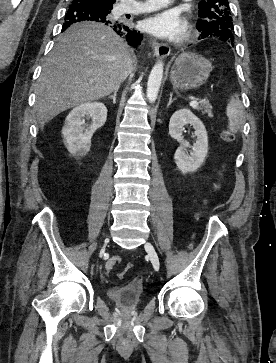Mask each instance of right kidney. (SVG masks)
Returning <instances> with one entry per match:
<instances>
[{
    "label": "right kidney",
    "mask_w": 276,
    "mask_h": 363,
    "mask_svg": "<svg viewBox=\"0 0 276 363\" xmlns=\"http://www.w3.org/2000/svg\"><path fill=\"white\" fill-rule=\"evenodd\" d=\"M85 117L92 123L85 124ZM107 119V108L101 102H89L75 107L66 117L62 128L63 142L69 153L76 157L85 156L91 147L94 132L103 126Z\"/></svg>",
    "instance_id": "1"
}]
</instances>
